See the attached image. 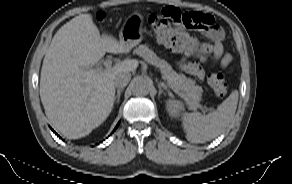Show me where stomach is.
I'll return each instance as SVG.
<instances>
[{"instance_id": "1", "label": "stomach", "mask_w": 292, "mask_h": 184, "mask_svg": "<svg viewBox=\"0 0 292 184\" xmlns=\"http://www.w3.org/2000/svg\"><path fill=\"white\" fill-rule=\"evenodd\" d=\"M142 22L143 17L141 14L134 12L129 15L121 28L120 41L130 48L138 45L143 39V32L141 29Z\"/></svg>"}]
</instances>
